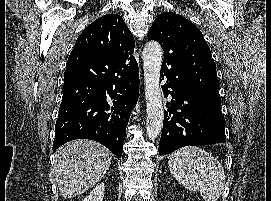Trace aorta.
<instances>
[{"label": "aorta", "instance_id": "aorta-1", "mask_svg": "<svg viewBox=\"0 0 271 201\" xmlns=\"http://www.w3.org/2000/svg\"><path fill=\"white\" fill-rule=\"evenodd\" d=\"M162 55V48L156 41L148 42L143 49V71L147 107L146 132L150 140L158 137L164 120L160 87Z\"/></svg>", "mask_w": 271, "mask_h": 201}]
</instances>
